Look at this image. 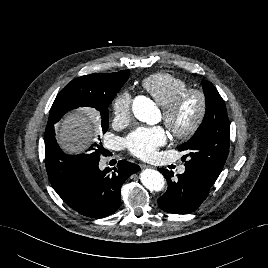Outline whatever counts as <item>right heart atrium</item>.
<instances>
[{"instance_id":"d8ad5b80","label":"right heart atrium","mask_w":268,"mask_h":268,"mask_svg":"<svg viewBox=\"0 0 268 268\" xmlns=\"http://www.w3.org/2000/svg\"><path fill=\"white\" fill-rule=\"evenodd\" d=\"M132 96L128 90L120 92L113 101L112 110L116 120L128 122L131 119Z\"/></svg>"}]
</instances>
